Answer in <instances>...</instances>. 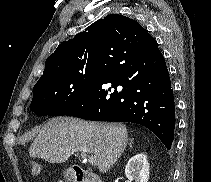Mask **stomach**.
Instances as JSON below:
<instances>
[{
    "instance_id": "1",
    "label": "stomach",
    "mask_w": 211,
    "mask_h": 182,
    "mask_svg": "<svg viewBox=\"0 0 211 182\" xmlns=\"http://www.w3.org/2000/svg\"><path fill=\"white\" fill-rule=\"evenodd\" d=\"M64 174H65V177L67 179H72L73 178V174L71 172H69V171H66Z\"/></svg>"
}]
</instances>
